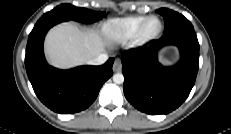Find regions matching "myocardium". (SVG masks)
I'll return each mask as SVG.
<instances>
[{
	"mask_svg": "<svg viewBox=\"0 0 231 134\" xmlns=\"http://www.w3.org/2000/svg\"><path fill=\"white\" fill-rule=\"evenodd\" d=\"M153 20H157L159 22V29L154 34L149 35L147 34V27L148 24ZM163 27V22L158 16L147 17V19L141 24L135 35L136 43H138L139 45H146L154 42L161 36L163 32Z\"/></svg>",
	"mask_w": 231,
	"mask_h": 134,
	"instance_id": "myocardium-1",
	"label": "myocardium"
}]
</instances>
